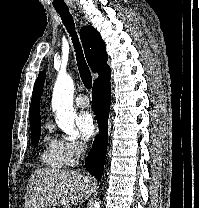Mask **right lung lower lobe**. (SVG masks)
<instances>
[{
	"mask_svg": "<svg viewBox=\"0 0 199 208\" xmlns=\"http://www.w3.org/2000/svg\"><path fill=\"white\" fill-rule=\"evenodd\" d=\"M110 89L109 78L94 84L92 90V102L99 125V134L85 160V167L98 180L101 179L103 174L108 143V115L111 102Z\"/></svg>",
	"mask_w": 199,
	"mask_h": 208,
	"instance_id": "right-lung-lower-lobe-1",
	"label": "right lung lower lobe"
}]
</instances>
